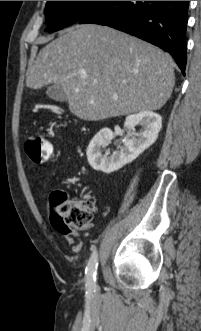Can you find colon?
<instances>
[{
    "instance_id": "5ec220e1",
    "label": "colon",
    "mask_w": 201,
    "mask_h": 331,
    "mask_svg": "<svg viewBox=\"0 0 201 331\" xmlns=\"http://www.w3.org/2000/svg\"><path fill=\"white\" fill-rule=\"evenodd\" d=\"M24 147L31 161L36 164L45 163L52 155L50 141L40 134L29 135ZM49 206L54 218L66 227L83 230L92 220L93 203L88 200L69 202L66 193L62 190L54 191L50 195Z\"/></svg>"
}]
</instances>
